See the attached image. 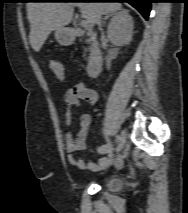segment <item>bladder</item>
I'll return each instance as SVG.
<instances>
[{"instance_id":"obj_1","label":"bladder","mask_w":188,"mask_h":213,"mask_svg":"<svg viewBox=\"0 0 188 213\" xmlns=\"http://www.w3.org/2000/svg\"><path fill=\"white\" fill-rule=\"evenodd\" d=\"M122 187V181L119 178H109L105 181L104 188L107 191L115 192Z\"/></svg>"}]
</instances>
